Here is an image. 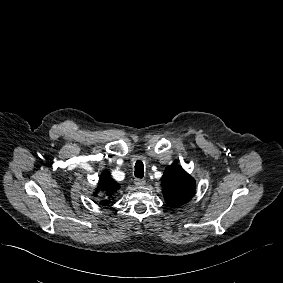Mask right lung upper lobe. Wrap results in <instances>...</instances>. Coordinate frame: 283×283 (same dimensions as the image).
I'll use <instances>...</instances> for the list:
<instances>
[{
  "mask_svg": "<svg viewBox=\"0 0 283 283\" xmlns=\"http://www.w3.org/2000/svg\"><path fill=\"white\" fill-rule=\"evenodd\" d=\"M119 188H120V185L111 178L110 172L105 170L101 174L97 189L94 194L97 195L98 192L101 191L107 197H111ZM108 203L109 201L107 199L101 201V204L104 206L107 205Z\"/></svg>",
  "mask_w": 283,
  "mask_h": 283,
  "instance_id": "right-lung-upper-lobe-1",
  "label": "right lung upper lobe"
}]
</instances>
